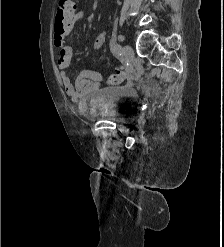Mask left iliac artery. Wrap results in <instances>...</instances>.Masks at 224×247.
Segmentation results:
<instances>
[{
	"label": "left iliac artery",
	"mask_w": 224,
	"mask_h": 247,
	"mask_svg": "<svg viewBox=\"0 0 224 247\" xmlns=\"http://www.w3.org/2000/svg\"><path fill=\"white\" fill-rule=\"evenodd\" d=\"M113 51H114V53L121 55L122 54V48H121L120 44H118V43L115 44Z\"/></svg>",
	"instance_id": "44dca946"
}]
</instances>
